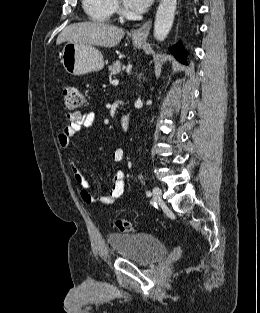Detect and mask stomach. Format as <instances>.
<instances>
[{
  "label": "stomach",
  "mask_w": 260,
  "mask_h": 313,
  "mask_svg": "<svg viewBox=\"0 0 260 313\" xmlns=\"http://www.w3.org/2000/svg\"><path fill=\"white\" fill-rule=\"evenodd\" d=\"M132 41L138 48L145 44V41L137 39ZM61 62L66 72L74 76L96 72L104 67L103 56L93 45L70 41L63 47Z\"/></svg>",
  "instance_id": "0dacf381"
}]
</instances>
